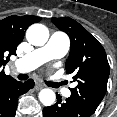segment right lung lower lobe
<instances>
[{"label": "right lung lower lobe", "mask_w": 117, "mask_h": 117, "mask_svg": "<svg viewBox=\"0 0 117 117\" xmlns=\"http://www.w3.org/2000/svg\"><path fill=\"white\" fill-rule=\"evenodd\" d=\"M34 87V81L26 82L12 80L0 88V117H14L17 109L18 97Z\"/></svg>", "instance_id": "right-lung-lower-lobe-1"}]
</instances>
